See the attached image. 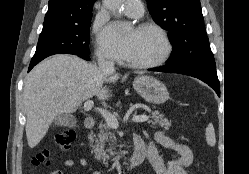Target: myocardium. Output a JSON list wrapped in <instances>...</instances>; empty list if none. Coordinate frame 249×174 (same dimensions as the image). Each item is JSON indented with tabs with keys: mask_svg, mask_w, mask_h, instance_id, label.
<instances>
[{
	"mask_svg": "<svg viewBox=\"0 0 249 174\" xmlns=\"http://www.w3.org/2000/svg\"><path fill=\"white\" fill-rule=\"evenodd\" d=\"M136 30L137 31L153 30V31L157 32L164 41L165 51L160 58H158L154 61H150V62H131V61H128L127 64L129 66L134 67V68H138V69H150V68L159 67V66L163 65L164 63H166L170 59V57L173 53V44H172V41H171L168 33L166 32V30L164 28H162L158 24H155L152 22H145V23L139 24L136 27Z\"/></svg>",
	"mask_w": 249,
	"mask_h": 174,
	"instance_id": "myocardium-1",
	"label": "myocardium"
}]
</instances>
